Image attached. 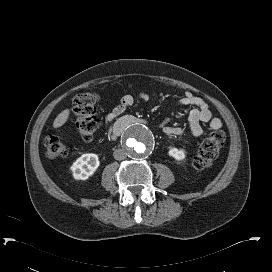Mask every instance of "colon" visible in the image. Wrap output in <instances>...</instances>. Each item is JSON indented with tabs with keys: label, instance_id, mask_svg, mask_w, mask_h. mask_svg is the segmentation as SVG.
<instances>
[{
	"label": "colon",
	"instance_id": "obj_1",
	"mask_svg": "<svg viewBox=\"0 0 272 272\" xmlns=\"http://www.w3.org/2000/svg\"><path fill=\"white\" fill-rule=\"evenodd\" d=\"M98 102L99 96L96 92H84L74 98L75 126L84 141L91 140L98 128ZM225 138L222 130L212 132L200 145L194 159V167L199 170L208 168L224 146ZM45 147L46 154L50 158L63 157L68 152L62 138L54 133L45 138Z\"/></svg>",
	"mask_w": 272,
	"mask_h": 272
}]
</instances>
